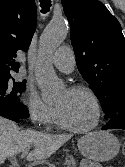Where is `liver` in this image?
I'll return each mask as SVG.
<instances>
[{"label": "liver", "mask_w": 125, "mask_h": 167, "mask_svg": "<svg viewBox=\"0 0 125 167\" xmlns=\"http://www.w3.org/2000/svg\"><path fill=\"white\" fill-rule=\"evenodd\" d=\"M71 135H52L35 130H20L15 122L0 117V164L31 145L34 149L28 154L27 160L40 161L55 153Z\"/></svg>", "instance_id": "6515ba94"}]
</instances>
